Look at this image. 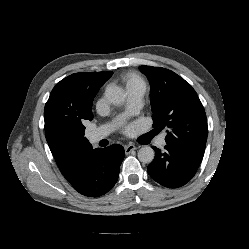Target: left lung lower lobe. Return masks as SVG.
Masks as SVG:
<instances>
[{
	"mask_svg": "<svg viewBox=\"0 0 249 249\" xmlns=\"http://www.w3.org/2000/svg\"><path fill=\"white\" fill-rule=\"evenodd\" d=\"M152 148L156 154L148 166V173L156 182L168 188H178L189 182L203 158L170 144L165 146L163 152L155 146Z\"/></svg>",
	"mask_w": 249,
	"mask_h": 249,
	"instance_id": "1",
	"label": "left lung lower lobe"
}]
</instances>
